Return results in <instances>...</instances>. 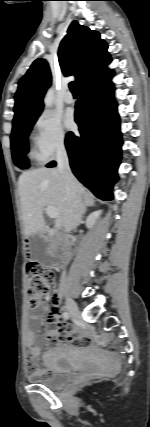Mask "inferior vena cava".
Instances as JSON below:
<instances>
[{
	"mask_svg": "<svg viewBox=\"0 0 150 427\" xmlns=\"http://www.w3.org/2000/svg\"><path fill=\"white\" fill-rule=\"evenodd\" d=\"M56 156L58 170L63 177L66 189L67 207L64 228L66 232H70L71 229L81 221L84 201L78 190L77 180L71 172L67 151L63 143L59 144L57 147Z\"/></svg>",
	"mask_w": 150,
	"mask_h": 427,
	"instance_id": "602c4592",
	"label": "inferior vena cava"
}]
</instances>
